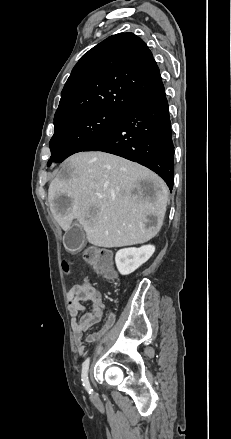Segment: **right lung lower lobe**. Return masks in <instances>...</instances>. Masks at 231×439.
<instances>
[{"mask_svg": "<svg viewBox=\"0 0 231 439\" xmlns=\"http://www.w3.org/2000/svg\"><path fill=\"white\" fill-rule=\"evenodd\" d=\"M83 151H103L137 162L156 172L172 190L174 145L165 90L134 103Z\"/></svg>", "mask_w": 231, "mask_h": 439, "instance_id": "98d812e1", "label": "right lung lower lobe"}]
</instances>
